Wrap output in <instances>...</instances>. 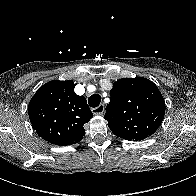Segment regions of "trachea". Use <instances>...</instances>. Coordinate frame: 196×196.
<instances>
[{
	"label": "trachea",
	"instance_id": "1",
	"mask_svg": "<svg viewBox=\"0 0 196 196\" xmlns=\"http://www.w3.org/2000/svg\"><path fill=\"white\" fill-rule=\"evenodd\" d=\"M100 102L101 96L99 94H93L88 98V104L93 108L99 106Z\"/></svg>",
	"mask_w": 196,
	"mask_h": 196
}]
</instances>
